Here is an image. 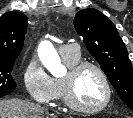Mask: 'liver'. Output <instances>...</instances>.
Instances as JSON below:
<instances>
[{"label":"liver","instance_id":"obj_1","mask_svg":"<svg viewBox=\"0 0 133 118\" xmlns=\"http://www.w3.org/2000/svg\"><path fill=\"white\" fill-rule=\"evenodd\" d=\"M39 105L17 99L0 100V118H54Z\"/></svg>","mask_w":133,"mask_h":118}]
</instances>
